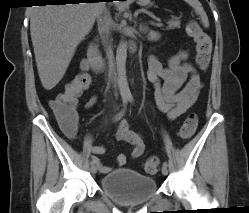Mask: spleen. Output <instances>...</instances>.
Returning <instances> with one entry per match:
<instances>
[{"label": "spleen", "instance_id": "spleen-1", "mask_svg": "<svg viewBox=\"0 0 249 213\" xmlns=\"http://www.w3.org/2000/svg\"><path fill=\"white\" fill-rule=\"evenodd\" d=\"M184 1L194 8L196 14L200 16L203 26L208 27L209 26L208 17L201 3L198 0H184Z\"/></svg>", "mask_w": 249, "mask_h": 213}]
</instances>
